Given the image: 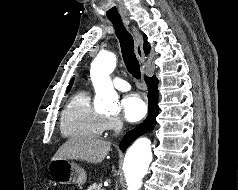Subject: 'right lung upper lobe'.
Masks as SVG:
<instances>
[{
    "label": "right lung upper lobe",
    "mask_w": 238,
    "mask_h": 190,
    "mask_svg": "<svg viewBox=\"0 0 238 190\" xmlns=\"http://www.w3.org/2000/svg\"><path fill=\"white\" fill-rule=\"evenodd\" d=\"M150 51V45L149 43L147 42V37L145 36L144 38V52L147 54L149 53ZM73 81V80H72ZM72 81L69 83V86L67 88V91H69L71 89V86H72Z\"/></svg>",
    "instance_id": "1"
}]
</instances>
